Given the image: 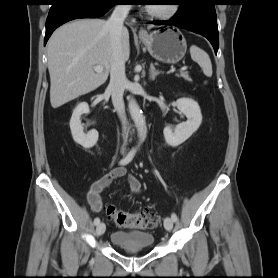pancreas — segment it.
Instances as JSON below:
<instances>
[{"instance_id": "pancreas-1", "label": "pancreas", "mask_w": 278, "mask_h": 278, "mask_svg": "<svg viewBox=\"0 0 278 278\" xmlns=\"http://www.w3.org/2000/svg\"><path fill=\"white\" fill-rule=\"evenodd\" d=\"M180 77L184 78L187 81H191V78L189 77L187 72H183L179 75Z\"/></svg>"}]
</instances>
